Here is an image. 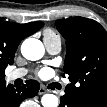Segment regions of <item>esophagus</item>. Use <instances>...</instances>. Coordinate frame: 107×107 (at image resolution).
<instances>
[{
  "instance_id": "1",
  "label": "esophagus",
  "mask_w": 107,
  "mask_h": 107,
  "mask_svg": "<svg viewBox=\"0 0 107 107\" xmlns=\"http://www.w3.org/2000/svg\"><path fill=\"white\" fill-rule=\"evenodd\" d=\"M47 92V89L44 87V86H41L39 91H38V94L39 95H43Z\"/></svg>"
}]
</instances>
